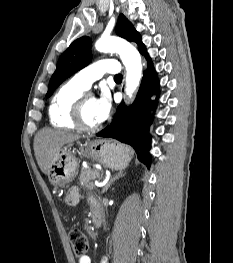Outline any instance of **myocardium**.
I'll list each match as a JSON object with an SVG mask.
<instances>
[{"instance_id": "myocardium-1", "label": "myocardium", "mask_w": 233, "mask_h": 263, "mask_svg": "<svg viewBox=\"0 0 233 263\" xmlns=\"http://www.w3.org/2000/svg\"><path fill=\"white\" fill-rule=\"evenodd\" d=\"M86 96L87 95L82 93L75 101L72 109V118L78 129L86 132H94L98 130L100 126L98 124L95 126L87 125L83 118V107Z\"/></svg>"}]
</instances>
